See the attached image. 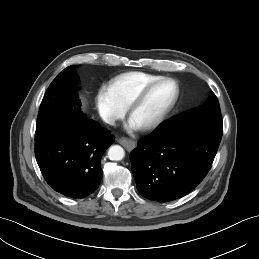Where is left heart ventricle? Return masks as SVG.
<instances>
[{"mask_svg": "<svg viewBox=\"0 0 259 259\" xmlns=\"http://www.w3.org/2000/svg\"><path fill=\"white\" fill-rule=\"evenodd\" d=\"M176 88L171 82H164L154 87L133 111L131 119L140 127L156 119L175 96Z\"/></svg>", "mask_w": 259, "mask_h": 259, "instance_id": "b2bd125f", "label": "left heart ventricle"}]
</instances>
